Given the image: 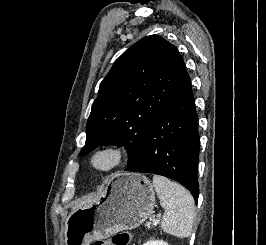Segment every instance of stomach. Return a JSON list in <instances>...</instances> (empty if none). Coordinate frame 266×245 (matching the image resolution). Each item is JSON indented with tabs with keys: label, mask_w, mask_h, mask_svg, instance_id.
<instances>
[{
	"label": "stomach",
	"mask_w": 266,
	"mask_h": 245,
	"mask_svg": "<svg viewBox=\"0 0 266 245\" xmlns=\"http://www.w3.org/2000/svg\"><path fill=\"white\" fill-rule=\"evenodd\" d=\"M152 183L138 173H116L95 203L73 211L65 221V245H89L120 231L137 229L155 205Z\"/></svg>",
	"instance_id": "obj_1"
}]
</instances>
